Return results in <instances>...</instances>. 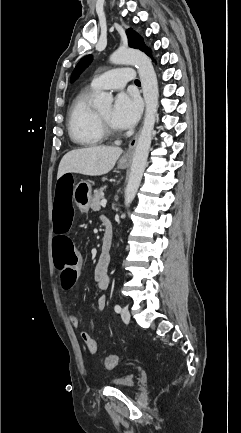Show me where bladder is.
Returning a JSON list of instances; mask_svg holds the SVG:
<instances>
[{
    "mask_svg": "<svg viewBox=\"0 0 241 433\" xmlns=\"http://www.w3.org/2000/svg\"><path fill=\"white\" fill-rule=\"evenodd\" d=\"M136 378L134 375L128 374L111 381L112 385L120 389H132L135 386Z\"/></svg>",
    "mask_w": 241,
    "mask_h": 433,
    "instance_id": "bladder-1",
    "label": "bladder"
}]
</instances>
